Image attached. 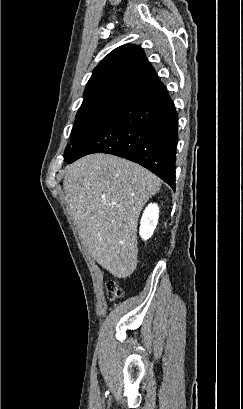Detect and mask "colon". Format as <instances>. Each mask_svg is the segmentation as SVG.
Masks as SVG:
<instances>
[{"label":"colon","instance_id":"1","mask_svg":"<svg viewBox=\"0 0 243 409\" xmlns=\"http://www.w3.org/2000/svg\"><path fill=\"white\" fill-rule=\"evenodd\" d=\"M107 294L109 299L114 300L122 295V289L115 282H110L107 284Z\"/></svg>","mask_w":243,"mask_h":409}]
</instances>
